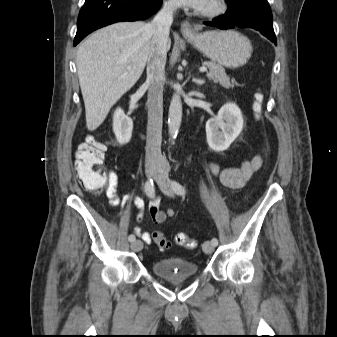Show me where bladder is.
Wrapping results in <instances>:
<instances>
[{
	"instance_id": "obj_1",
	"label": "bladder",
	"mask_w": 337,
	"mask_h": 337,
	"mask_svg": "<svg viewBox=\"0 0 337 337\" xmlns=\"http://www.w3.org/2000/svg\"><path fill=\"white\" fill-rule=\"evenodd\" d=\"M151 268L152 272L160 278L193 277L199 271L196 263L181 257L155 260Z\"/></svg>"
}]
</instances>
